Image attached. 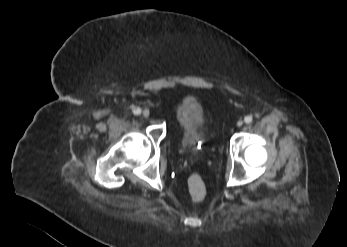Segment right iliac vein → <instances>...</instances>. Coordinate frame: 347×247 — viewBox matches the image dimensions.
Returning <instances> with one entry per match:
<instances>
[{"mask_svg": "<svg viewBox=\"0 0 347 247\" xmlns=\"http://www.w3.org/2000/svg\"><path fill=\"white\" fill-rule=\"evenodd\" d=\"M142 115L144 117H148L150 115V111L148 109H145L143 112H142Z\"/></svg>", "mask_w": 347, "mask_h": 247, "instance_id": "63e3f726", "label": "right iliac vein"}]
</instances>
